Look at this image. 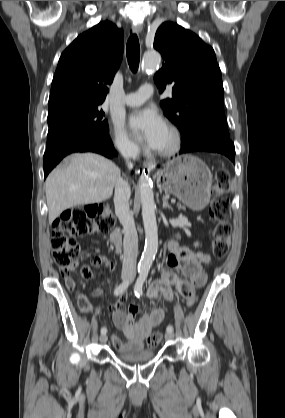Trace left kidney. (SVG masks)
Here are the masks:
<instances>
[{
	"label": "left kidney",
	"instance_id": "5707ae66",
	"mask_svg": "<svg viewBox=\"0 0 285 418\" xmlns=\"http://www.w3.org/2000/svg\"><path fill=\"white\" fill-rule=\"evenodd\" d=\"M199 246V243H195V247H198Z\"/></svg>",
	"mask_w": 285,
	"mask_h": 418
}]
</instances>
